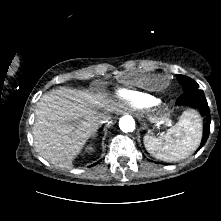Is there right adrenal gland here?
<instances>
[{
  "label": "right adrenal gland",
  "instance_id": "1",
  "mask_svg": "<svg viewBox=\"0 0 221 221\" xmlns=\"http://www.w3.org/2000/svg\"><path fill=\"white\" fill-rule=\"evenodd\" d=\"M97 134L95 133V134H93V137H95Z\"/></svg>",
  "mask_w": 221,
  "mask_h": 221
}]
</instances>
